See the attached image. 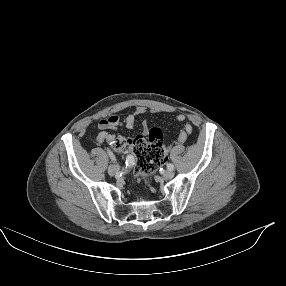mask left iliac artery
Here are the masks:
<instances>
[{
	"label": "left iliac artery",
	"instance_id": "1",
	"mask_svg": "<svg viewBox=\"0 0 286 286\" xmlns=\"http://www.w3.org/2000/svg\"><path fill=\"white\" fill-rule=\"evenodd\" d=\"M167 168H168L169 170H173V169H174V165L171 164V163H169V164H167Z\"/></svg>",
	"mask_w": 286,
	"mask_h": 286
}]
</instances>
